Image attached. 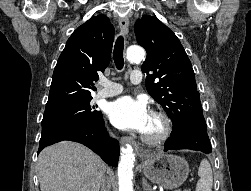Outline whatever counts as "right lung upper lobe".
<instances>
[{"instance_id": "right-lung-upper-lobe-1", "label": "right lung upper lobe", "mask_w": 251, "mask_h": 191, "mask_svg": "<svg viewBox=\"0 0 251 191\" xmlns=\"http://www.w3.org/2000/svg\"><path fill=\"white\" fill-rule=\"evenodd\" d=\"M113 40L114 28L102 14L72 33L54 69L46 108L92 98L93 82L110 62Z\"/></svg>"}]
</instances>
